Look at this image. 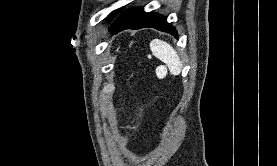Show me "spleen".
Segmentation results:
<instances>
[{"label":"spleen","instance_id":"3e777b00","mask_svg":"<svg viewBox=\"0 0 277 166\" xmlns=\"http://www.w3.org/2000/svg\"><path fill=\"white\" fill-rule=\"evenodd\" d=\"M150 49L153 55L168 67L171 74H180L182 62L177 52L170 44L159 39H154L150 43Z\"/></svg>","mask_w":277,"mask_h":166}]
</instances>
